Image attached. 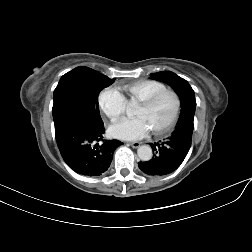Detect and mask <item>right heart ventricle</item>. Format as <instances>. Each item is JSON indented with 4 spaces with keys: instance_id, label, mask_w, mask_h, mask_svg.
Segmentation results:
<instances>
[{
    "instance_id": "1",
    "label": "right heart ventricle",
    "mask_w": 252,
    "mask_h": 252,
    "mask_svg": "<svg viewBox=\"0 0 252 252\" xmlns=\"http://www.w3.org/2000/svg\"><path fill=\"white\" fill-rule=\"evenodd\" d=\"M167 87L155 80H141L122 86V89L132 100L141 102L152 94L166 89Z\"/></svg>"
}]
</instances>
